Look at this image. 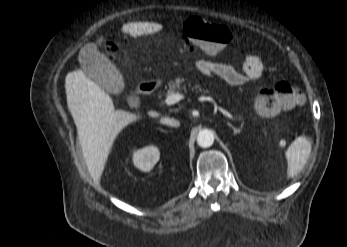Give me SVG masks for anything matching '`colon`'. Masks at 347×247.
I'll list each match as a JSON object with an SVG mask.
<instances>
[{
  "instance_id": "5ec220e1",
  "label": "colon",
  "mask_w": 347,
  "mask_h": 247,
  "mask_svg": "<svg viewBox=\"0 0 347 247\" xmlns=\"http://www.w3.org/2000/svg\"><path fill=\"white\" fill-rule=\"evenodd\" d=\"M185 37L209 55L221 54L232 42V31L220 24L192 17L184 26ZM108 53L116 57L114 46L109 44ZM302 90L289 83L279 82L272 88H263L255 101L257 113L265 117H274L280 112L291 111L302 104Z\"/></svg>"
}]
</instances>
